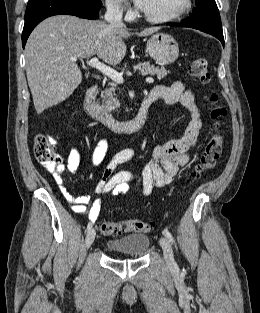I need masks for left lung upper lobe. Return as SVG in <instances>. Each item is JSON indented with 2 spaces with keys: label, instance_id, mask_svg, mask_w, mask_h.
<instances>
[{
  "label": "left lung upper lobe",
  "instance_id": "5c2ea615",
  "mask_svg": "<svg viewBox=\"0 0 260 313\" xmlns=\"http://www.w3.org/2000/svg\"><path fill=\"white\" fill-rule=\"evenodd\" d=\"M183 21L201 31L223 32L215 0H196V8L192 15Z\"/></svg>",
  "mask_w": 260,
  "mask_h": 313
}]
</instances>
